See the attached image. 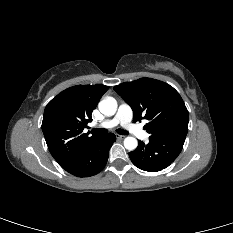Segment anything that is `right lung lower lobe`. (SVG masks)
I'll list each match as a JSON object with an SVG mask.
<instances>
[{
	"instance_id": "obj_1",
	"label": "right lung lower lobe",
	"mask_w": 233,
	"mask_h": 233,
	"mask_svg": "<svg viewBox=\"0 0 233 233\" xmlns=\"http://www.w3.org/2000/svg\"><path fill=\"white\" fill-rule=\"evenodd\" d=\"M115 140L113 133L98 137L75 160L62 168L77 177H90L99 173L107 163L109 149Z\"/></svg>"
}]
</instances>
